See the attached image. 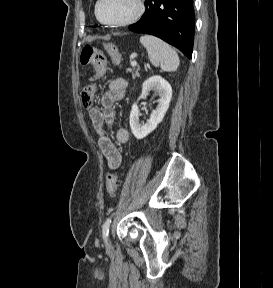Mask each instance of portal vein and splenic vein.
Segmentation results:
<instances>
[{
    "label": "portal vein and splenic vein",
    "instance_id": "obj_1",
    "mask_svg": "<svg viewBox=\"0 0 273 288\" xmlns=\"http://www.w3.org/2000/svg\"><path fill=\"white\" fill-rule=\"evenodd\" d=\"M131 65H132V66H136V65H137V62H136V61L131 62Z\"/></svg>",
    "mask_w": 273,
    "mask_h": 288
}]
</instances>
